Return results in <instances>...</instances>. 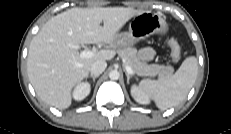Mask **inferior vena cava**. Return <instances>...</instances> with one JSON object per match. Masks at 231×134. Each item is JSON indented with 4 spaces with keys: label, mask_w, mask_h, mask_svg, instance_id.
Instances as JSON below:
<instances>
[{
    "label": "inferior vena cava",
    "mask_w": 231,
    "mask_h": 134,
    "mask_svg": "<svg viewBox=\"0 0 231 134\" xmlns=\"http://www.w3.org/2000/svg\"><path fill=\"white\" fill-rule=\"evenodd\" d=\"M107 67V63L103 60H97L93 62L90 66L91 75L99 76L104 72Z\"/></svg>",
    "instance_id": "1"
}]
</instances>
